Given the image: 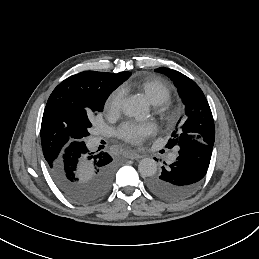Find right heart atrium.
Wrapping results in <instances>:
<instances>
[{
  "instance_id": "right-heart-atrium-1",
  "label": "right heart atrium",
  "mask_w": 259,
  "mask_h": 259,
  "mask_svg": "<svg viewBox=\"0 0 259 259\" xmlns=\"http://www.w3.org/2000/svg\"><path fill=\"white\" fill-rule=\"evenodd\" d=\"M123 104L122 94L118 90H114L107 99V107L114 112L121 110Z\"/></svg>"
}]
</instances>
